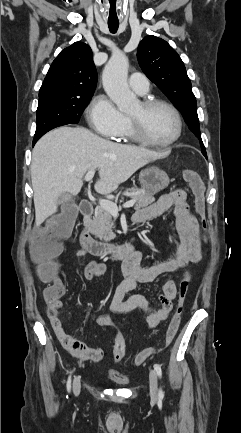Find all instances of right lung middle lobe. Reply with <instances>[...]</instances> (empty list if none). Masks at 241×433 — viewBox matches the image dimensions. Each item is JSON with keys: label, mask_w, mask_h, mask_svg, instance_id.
I'll use <instances>...</instances> for the list:
<instances>
[{"label": "right lung middle lobe", "mask_w": 241, "mask_h": 433, "mask_svg": "<svg viewBox=\"0 0 241 433\" xmlns=\"http://www.w3.org/2000/svg\"><path fill=\"white\" fill-rule=\"evenodd\" d=\"M91 98L92 96L84 98L51 97L39 100L37 128L33 142L53 128L78 123Z\"/></svg>", "instance_id": "obj_1"}]
</instances>
